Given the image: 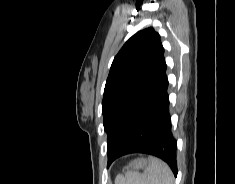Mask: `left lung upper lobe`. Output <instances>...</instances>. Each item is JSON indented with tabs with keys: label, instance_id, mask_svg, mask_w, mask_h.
I'll list each match as a JSON object with an SVG mask.
<instances>
[{
	"label": "left lung upper lobe",
	"instance_id": "5c2ea615",
	"mask_svg": "<svg viewBox=\"0 0 235 184\" xmlns=\"http://www.w3.org/2000/svg\"><path fill=\"white\" fill-rule=\"evenodd\" d=\"M164 60L160 35L146 28L133 35L115 56L102 101L108 135V163L122 149L152 93Z\"/></svg>",
	"mask_w": 235,
	"mask_h": 184
}]
</instances>
